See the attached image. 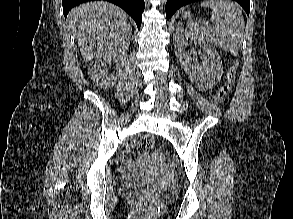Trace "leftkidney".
I'll return each mask as SVG.
<instances>
[{"mask_svg": "<svg viewBox=\"0 0 293 219\" xmlns=\"http://www.w3.org/2000/svg\"><path fill=\"white\" fill-rule=\"evenodd\" d=\"M185 39L193 40L202 48V52H199L203 59L200 65L196 62L192 63V52L185 51L187 46ZM173 41L177 58L195 86L201 91L213 88L223 74L222 61L216 49L204 39L184 28H176Z\"/></svg>", "mask_w": 293, "mask_h": 219, "instance_id": "obj_1", "label": "left kidney"}]
</instances>
